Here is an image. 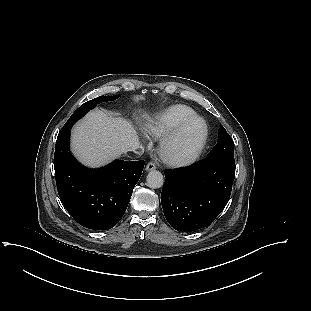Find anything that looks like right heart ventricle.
Masks as SVG:
<instances>
[{"label": "right heart ventricle", "instance_id": "1", "mask_svg": "<svg viewBox=\"0 0 311 311\" xmlns=\"http://www.w3.org/2000/svg\"><path fill=\"white\" fill-rule=\"evenodd\" d=\"M195 114L194 109L187 105H172L158 114L154 119L149 121L144 128L148 136L162 138L184 119Z\"/></svg>", "mask_w": 311, "mask_h": 311}]
</instances>
